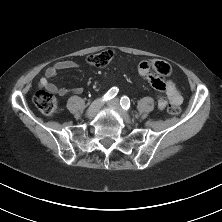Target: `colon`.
Returning a JSON list of instances; mask_svg holds the SVG:
<instances>
[{
    "mask_svg": "<svg viewBox=\"0 0 222 222\" xmlns=\"http://www.w3.org/2000/svg\"><path fill=\"white\" fill-rule=\"evenodd\" d=\"M114 53L111 50H103L91 54L87 58V62L95 67H105L111 63ZM149 65L151 71H154L163 78L171 75V66L164 60H151L145 63ZM34 103L36 107L46 116H53L58 110V102L53 93L46 90H39L34 95ZM168 112L170 114L179 113V108L173 104H169Z\"/></svg>",
    "mask_w": 222,
    "mask_h": 222,
    "instance_id": "obj_1",
    "label": "colon"
}]
</instances>
